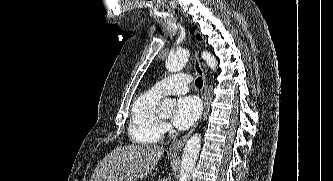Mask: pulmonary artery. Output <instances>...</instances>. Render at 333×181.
I'll list each match as a JSON object with an SVG mask.
<instances>
[{"instance_id": "obj_1", "label": "pulmonary artery", "mask_w": 333, "mask_h": 181, "mask_svg": "<svg viewBox=\"0 0 333 181\" xmlns=\"http://www.w3.org/2000/svg\"><path fill=\"white\" fill-rule=\"evenodd\" d=\"M191 78L187 74H177L164 78L156 83L152 91L159 96L167 94L181 95L187 92V84Z\"/></svg>"}]
</instances>
